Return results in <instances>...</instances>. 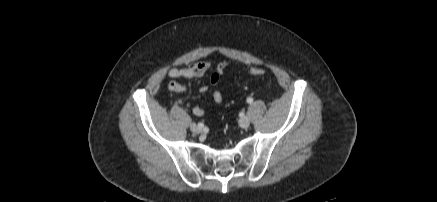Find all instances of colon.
Wrapping results in <instances>:
<instances>
[{
  "mask_svg": "<svg viewBox=\"0 0 437 202\" xmlns=\"http://www.w3.org/2000/svg\"><path fill=\"white\" fill-rule=\"evenodd\" d=\"M249 74L252 76H263L265 74V70L258 67L250 68Z\"/></svg>",
  "mask_w": 437,
  "mask_h": 202,
  "instance_id": "colon-1",
  "label": "colon"
}]
</instances>
